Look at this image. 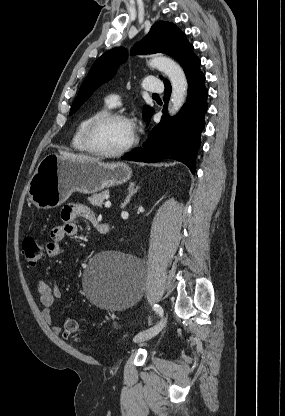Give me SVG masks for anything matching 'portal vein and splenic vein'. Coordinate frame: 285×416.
Returning <instances> with one entry per match:
<instances>
[{
  "label": "portal vein and splenic vein",
  "instance_id": "18ae733b",
  "mask_svg": "<svg viewBox=\"0 0 285 416\" xmlns=\"http://www.w3.org/2000/svg\"><path fill=\"white\" fill-rule=\"evenodd\" d=\"M111 202H105V208H110Z\"/></svg>",
  "mask_w": 285,
  "mask_h": 416
}]
</instances>
